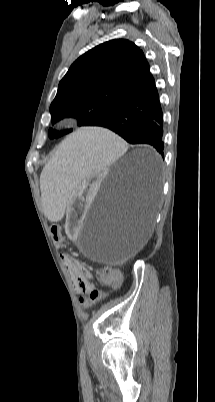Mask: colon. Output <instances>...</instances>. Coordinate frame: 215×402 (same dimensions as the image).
<instances>
[{
    "mask_svg": "<svg viewBox=\"0 0 215 402\" xmlns=\"http://www.w3.org/2000/svg\"><path fill=\"white\" fill-rule=\"evenodd\" d=\"M51 234L54 238L53 240V245L54 246H65L67 244V241L62 238L61 234V229L58 225H52L50 228ZM67 263L71 271L79 276H84L87 275L86 271L78 264L75 262L67 259ZM100 278L103 282H114L116 284L119 283L120 281V274L117 270L112 269V268H105L100 272ZM90 299L91 301H97L102 298V293L97 291V290H91L90 291Z\"/></svg>",
    "mask_w": 215,
    "mask_h": 402,
    "instance_id": "obj_1",
    "label": "colon"
}]
</instances>
